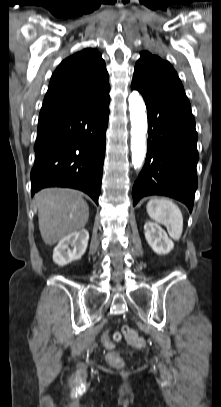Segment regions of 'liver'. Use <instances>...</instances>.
Listing matches in <instances>:
<instances>
[{
  "label": "liver",
  "instance_id": "liver-1",
  "mask_svg": "<svg viewBox=\"0 0 221 407\" xmlns=\"http://www.w3.org/2000/svg\"><path fill=\"white\" fill-rule=\"evenodd\" d=\"M39 230L45 244L53 245L83 228L89 207L81 194L66 188H47L35 196Z\"/></svg>",
  "mask_w": 221,
  "mask_h": 407
}]
</instances>
